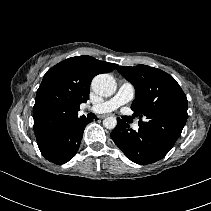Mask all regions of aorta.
Listing matches in <instances>:
<instances>
[{
	"mask_svg": "<svg viewBox=\"0 0 211 211\" xmlns=\"http://www.w3.org/2000/svg\"><path fill=\"white\" fill-rule=\"evenodd\" d=\"M91 86L97 95L103 97L113 95L117 88L115 79L109 74H99L95 76ZM103 125L107 129H114L117 125V120L115 117H107L103 121Z\"/></svg>",
	"mask_w": 211,
	"mask_h": 211,
	"instance_id": "762f6f07",
	"label": "aorta"
}]
</instances>
